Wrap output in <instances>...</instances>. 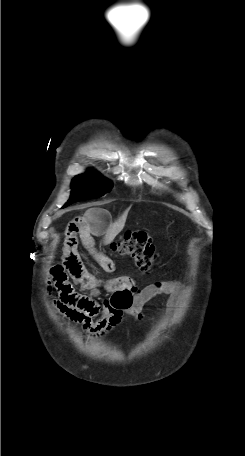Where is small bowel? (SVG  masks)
Returning <instances> with one entry per match:
<instances>
[{"mask_svg":"<svg viewBox=\"0 0 245 456\" xmlns=\"http://www.w3.org/2000/svg\"><path fill=\"white\" fill-rule=\"evenodd\" d=\"M108 224L109 214L103 209L91 210L71 220L65 234L63 263L51 270L53 284L59 293V298L53 302L55 310L81 324L93 338H101L113 330L124 314L142 319L145 304L160 294L170 295V308L183 294V288L178 284L150 285L139 289L129 276L100 279L89 273L82 266L77 252L78 236L102 269L112 273L114 262L94 248V236L104 234ZM68 276L88 290L90 296L77 293ZM101 290L106 291L109 297L100 301L94 297Z\"/></svg>","mask_w":245,"mask_h":456,"instance_id":"1","label":"small bowel"}]
</instances>
